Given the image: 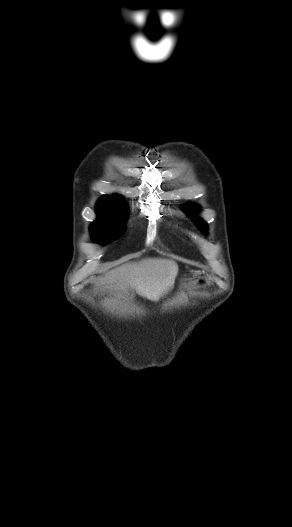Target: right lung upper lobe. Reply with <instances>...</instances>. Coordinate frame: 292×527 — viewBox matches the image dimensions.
I'll use <instances>...</instances> for the list:
<instances>
[{
  "mask_svg": "<svg viewBox=\"0 0 292 527\" xmlns=\"http://www.w3.org/2000/svg\"><path fill=\"white\" fill-rule=\"evenodd\" d=\"M98 203L127 207L124 200L121 197L116 196V195L104 196L99 200Z\"/></svg>",
  "mask_w": 292,
  "mask_h": 527,
  "instance_id": "obj_1",
  "label": "right lung upper lobe"
}]
</instances>
